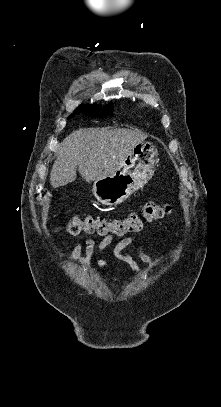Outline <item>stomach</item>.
Listing matches in <instances>:
<instances>
[{
    "label": "stomach",
    "instance_id": "1",
    "mask_svg": "<svg viewBox=\"0 0 221 407\" xmlns=\"http://www.w3.org/2000/svg\"><path fill=\"white\" fill-rule=\"evenodd\" d=\"M157 157L158 150L152 142L137 143L113 173L94 181L95 198L107 206L122 203L151 179Z\"/></svg>",
    "mask_w": 221,
    "mask_h": 407
}]
</instances>
